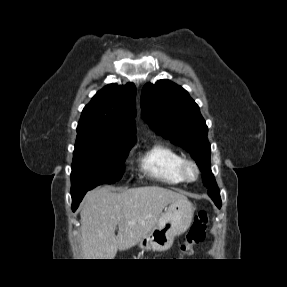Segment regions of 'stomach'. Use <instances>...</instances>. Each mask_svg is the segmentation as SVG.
Masks as SVG:
<instances>
[{"label": "stomach", "instance_id": "stomach-1", "mask_svg": "<svg viewBox=\"0 0 287 287\" xmlns=\"http://www.w3.org/2000/svg\"><path fill=\"white\" fill-rule=\"evenodd\" d=\"M194 211L187 198L171 202L153 229L138 242L139 248L160 252L168 250L174 238L189 228Z\"/></svg>", "mask_w": 287, "mask_h": 287}]
</instances>
